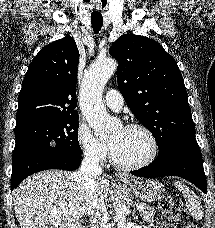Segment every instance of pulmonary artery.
<instances>
[{
	"mask_svg": "<svg viewBox=\"0 0 215 228\" xmlns=\"http://www.w3.org/2000/svg\"><path fill=\"white\" fill-rule=\"evenodd\" d=\"M105 103L112 110H119L124 104V99L117 90H109L105 94Z\"/></svg>",
	"mask_w": 215,
	"mask_h": 228,
	"instance_id": "e3ab8cb5",
	"label": "pulmonary artery"
}]
</instances>
